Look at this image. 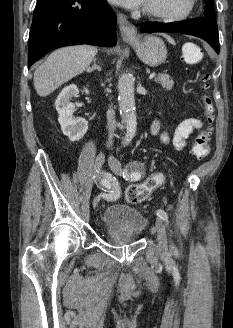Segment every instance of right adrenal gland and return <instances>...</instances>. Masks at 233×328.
I'll list each match as a JSON object with an SVG mask.
<instances>
[{"instance_id": "obj_1", "label": "right adrenal gland", "mask_w": 233, "mask_h": 328, "mask_svg": "<svg viewBox=\"0 0 233 328\" xmlns=\"http://www.w3.org/2000/svg\"><path fill=\"white\" fill-rule=\"evenodd\" d=\"M96 60H97L96 58L93 59V66L92 67H88L87 70H86L87 72L90 73V72H92L94 70L101 71V67L96 64Z\"/></svg>"}]
</instances>
